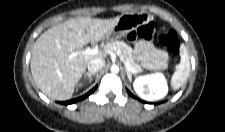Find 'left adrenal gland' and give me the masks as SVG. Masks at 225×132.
I'll list each match as a JSON object with an SVG mask.
<instances>
[{
  "label": "left adrenal gland",
  "instance_id": "1",
  "mask_svg": "<svg viewBox=\"0 0 225 132\" xmlns=\"http://www.w3.org/2000/svg\"><path fill=\"white\" fill-rule=\"evenodd\" d=\"M126 72H127V77L129 79V81H132V72H130L128 69H126Z\"/></svg>",
  "mask_w": 225,
  "mask_h": 132
}]
</instances>
